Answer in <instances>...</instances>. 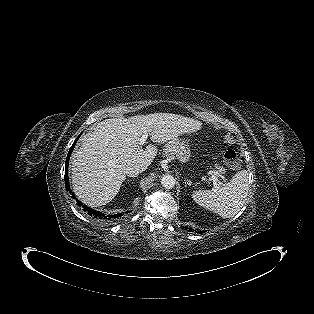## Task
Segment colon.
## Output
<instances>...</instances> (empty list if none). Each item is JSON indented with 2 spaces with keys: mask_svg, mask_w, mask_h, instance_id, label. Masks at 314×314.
<instances>
[{
  "mask_svg": "<svg viewBox=\"0 0 314 314\" xmlns=\"http://www.w3.org/2000/svg\"><path fill=\"white\" fill-rule=\"evenodd\" d=\"M223 158H224L225 163L229 167H231L233 169L239 168L240 163H239V159H238V155H237L236 151L231 150V149L225 151L223 154Z\"/></svg>",
  "mask_w": 314,
  "mask_h": 314,
  "instance_id": "colon-1",
  "label": "colon"
}]
</instances>
